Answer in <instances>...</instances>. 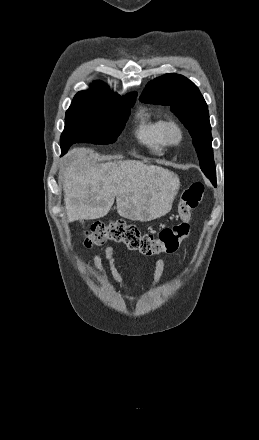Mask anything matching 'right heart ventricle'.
I'll return each instance as SVG.
<instances>
[{
  "label": "right heart ventricle",
  "mask_w": 259,
  "mask_h": 440,
  "mask_svg": "<svg viewBox=\"0 0 259 440\" xmlns=\"http://www.w3.org/2000/svg\"><path fill=\"white\" fill-rule=\"evenodd\" d=\"M167 117L153 108H143L138 115L135 128L136 139L154 153L162 152L168 144L163 135Z\"/></svg>",
  "instance_id": "right-heart-ventricle-1"
}]
</instances>
